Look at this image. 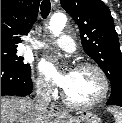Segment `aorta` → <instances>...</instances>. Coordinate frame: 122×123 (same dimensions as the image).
<instances>
[{"mask_svg":"<svg viewBox=\"0 0 122 123\" xmlns=\"http://www.w3.org/2000/svg\"><path fill=\"white\" fill-rule=\"evenodd\" d=\"M67 22V17L63 13H55L49 23V28L55 36H59Z\"/></svg>","mask_w":122,"mask_h":123,"instance_id":"obj_1","label":"aorta"}]
</instances>
